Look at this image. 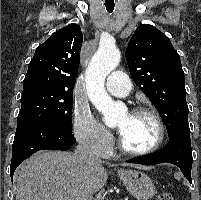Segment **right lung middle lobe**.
Returning a JSON list of instances; mask_svg holds the SVG:
<instances>
[{
  "label": "right lung middle lobe",
  "instance_id": "obj_1",
  "mask_svg": "<svg viewBox=\"0 0 201 200\" xmlns=\"http://www.w3.org/2000/svg\"><path fill=\"white\" fill-rule=\"evenodd\" d=\"M73 93L50 90L23 92L17 124L29 120H49L71 129Z\"/></svg>",
  "mask_w": 201,
  "mask_h": 200
}]
</instances>
